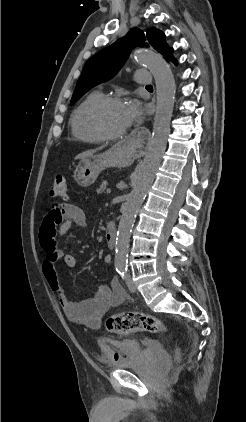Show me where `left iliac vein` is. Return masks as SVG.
I'll return each instance as SVG.
<instances>
[{
    "mask_svg": "<svg viewBox=\"0 0 246 422\" xmlns=\"http://www.w3.org/2000/svg\"><path fill=\"white\" fill-rule=\"evenodd\" d=\"M127 287L131 292H136L137 288L130 276L127 277Z\"/></svg>",
    "mask_w": 246,
    "mask_h": 422,
    "instance_id": "1",
    "label": "left iliac vein"
}]
</instances>
